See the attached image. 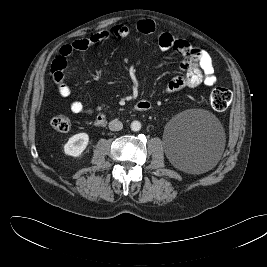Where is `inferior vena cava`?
<instances>
[{"label":"inferior vena cava","instance_id":"inferior-vena-cava-1","mask_svg":"<svg viewBox=\"0 0 267 267\" xmlns=\"http://www.w3.org/2000/svg\"><path fill=\"white\" fill-rule=\"evenodd\" d=\"M123 128V124L118 119H114L109 122V129L111 131H119Z\"/></svg>","mask_w":267,"mask_h":267}]
</instances>
